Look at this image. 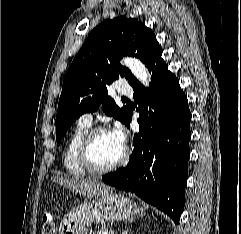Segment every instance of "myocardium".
I'll return each instance as SVG.
<instances>
[{"mask_svg":"<svg viewBox=\"0 0 241 234\" xmlns=\"http://www.w3.org/2000/svg\"><path fill=\"white\" fill-rule=\"evenodd\" d=\"M104 132H109L106 127H95L91 128L83 137L78 151V158L81 166L91 174H105L114 171L121 167L128 159V149L126 146L123 147L121 157L111 165L98 166L96 165L91 157V149L95 138Z\"/></svg>","mask_w":241,"mask_h":234,"instance_id":"f54148a6","label":"myocardium"}]
</instances>
